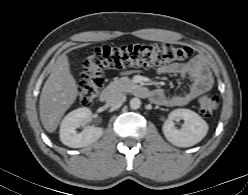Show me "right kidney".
Returning <instances> with one entry per match:
<instances>
[{
  "mask_svg": "<svg viewBox=\"0 0 248 195\" xmlns=\"http://www.w3.org/2000/svg\"><path fill=\"white\" fill-rule=\"evenodd\" d=\"M91 110L78 108L67 114L61 122L60 140L71 148H81L96 142L103 135V128L87 126L78 133L77 128L82 122L91 120Z\"/></svg>",
  "mask_w": 248,
  "mask_h": 195,
  "instance_id": "ca27d5eb",
  "label": "right kidney"
}]
</instances>
